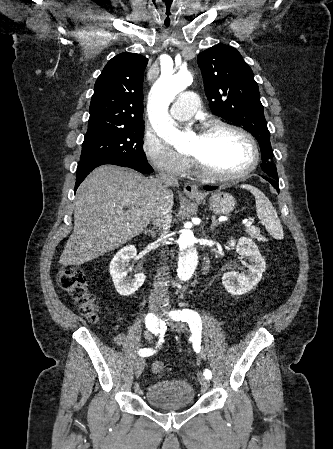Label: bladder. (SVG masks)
Segmentation results:
<instances>
[{"label":"bladder","instance_id":"1","mask_svg":"<svg viewBox=\"0 0 333 449\" xmlns=\"http://www.w3.org/2000/svg\"><path fill=\"white\" fill-rule=\"evenodd\" d=\"M195 391L185 381H159L150 384L146 391L149 405L160 409L189 407L194 403Z\"/></svg>","mask_w":333,"mask_h":449}]
</instances>
